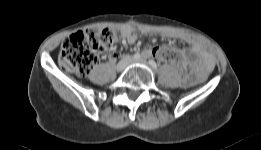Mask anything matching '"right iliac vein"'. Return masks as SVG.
Listing matches in <instances>:
<instances>
[{
  "instance_id": "1",
  "label": "right iliac vein",
  "mask_w": 261,
  "mask_h": 150,
  "mask_svg": "<svg viewBox=\"0 0 261 150\" xmlns=\"http://www.w3.org/2000/svg\"><path fill=\"white\" fill-rule=\"evenodd\" d=\"M131 61V58L129 56H126L125 58H123L116 66V70L118 72L123 71L127 65L129 64V62Z\"/></svg>"
}]
</instances>
